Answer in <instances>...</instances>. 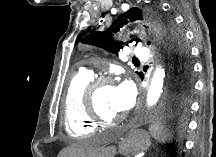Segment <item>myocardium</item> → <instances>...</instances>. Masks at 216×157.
Masks as SVG:
<instances>
[{
	"mask_svg": "<svg viewBox=\"0 0 216 157\" xmlns=\"http://www.w3.org/2000/svg\"><path fill=\"white\" fill-rule=\"evenodd\" d=\"M109 85H111L110 78L108 76H102L92 79L86 85L84 90V103L86 114L96 125H111L122 120V117H118L115 119H107L98 112L96 106V94L100 89Z\"/></svg>",
	"mask_w": 216,
	"mask_h": 157,
	"instance_id": "obj_1",
	"label": "myocardium"
}]
</instances>
